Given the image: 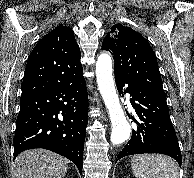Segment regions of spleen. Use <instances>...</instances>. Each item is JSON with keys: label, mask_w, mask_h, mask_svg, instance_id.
<instances>
[{"label": "spleen", "mask_w": 194, "mask_h": 178, "mask_svg": "<svg viewBox=\"0 0 194 178\" xmlns=\"http://www.w3.org/2000/svg\"><path fill=\"white\" fill-rule=\"evenodd\" d=\"M136 178H178V166L167 156L155 154L136 155L131 161Z\"/></svg>", "instance_id": "spleen-1"}]
</instances>
